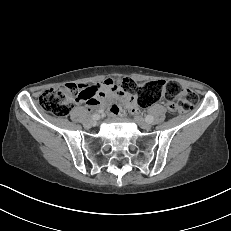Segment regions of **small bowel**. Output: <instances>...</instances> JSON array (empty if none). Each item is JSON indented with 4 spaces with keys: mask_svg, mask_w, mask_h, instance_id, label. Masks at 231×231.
Here are the masks:
<instances>
[{
    "mask_svg": "<svg viewBox=\"0 0 231 231\" xmlns=\"http://www.w3.org/2000/svg\"><path fill=\"white\" fill-rule=\"evenodd\" d=\"M115 79L107 78L95 85H81V89L87 92V95L79 100V102L87 103L91 107H101L107 104L112 98H118L125 106L138 111L136 99L114 87ZM119 106L114 104L109 107L111 114L119 111Z\"/></svg>",
    "mask_w": 231,
    "mask_h": 231,
    "instance_id": "small-bowel-1",
    "label": "small bowel"
}]
</instances>
